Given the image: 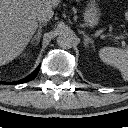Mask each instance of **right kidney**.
I'll return each mask as SVG.
<instances>
[{
  "instance_id": "ca27d5eb",
  "label": "right kidney",
  "mask_w": 128,
  "mask_h": 128,
  "mask_svg": "<svg viewBox=\"0 0 128 128\" xmlns=\"http://www.w3.org/2000/svg\"><path fill=\"white\" fill-rule=\"evenodd\" d=\"M23 57H26V58H27V57H28V54H26V53H25V54H23Z\"/></svg>"
}]
</instances>
